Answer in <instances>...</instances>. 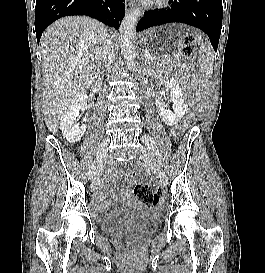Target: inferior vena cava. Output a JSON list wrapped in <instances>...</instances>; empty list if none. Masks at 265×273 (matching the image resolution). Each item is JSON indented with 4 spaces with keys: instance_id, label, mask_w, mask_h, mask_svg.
Returning a JSON list of instances; mask_svg holds the SVG:
<instances>
[{
    "instance_id": "obj_1",
    "label": "inferior vena cava",
    "mask_w": 265,
    "mask_h": 273,
    "mask_svg": "<svg viewBox=\"0 0 265 273\" xmlns=\"http://www.w3.org/2000/svg\"><path fill=\"white\" fill-rule=\"evenodd\" d=\"M114 45L110 39H107L102 48V65L108 70L115 58Z\"/></svg>"
}]
</instances>
